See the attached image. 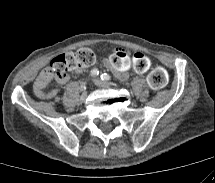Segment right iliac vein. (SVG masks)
I'll return each mask as SVG.
<instances>
[{
  "label": "right iliac vein",
  "instance_id": "1",
  "mask_svg": "<svg viewBox=\"0 0 215 183\" xmlns=\"http://www.w3.org/2000/svg\"><path fill=\"white\" fill-rule=\"evenodd\" d=\"M86 99H87V92L84 91V92L81 94V96H80V100H81L82 102H84Z\"/></svg>",
  "mask_w": 215,
  "mask_h": 183
}]
</instances>
